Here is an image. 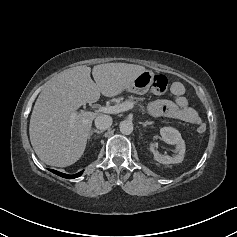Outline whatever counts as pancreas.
<instances>
[{
	"mask_svg": "<svg viewBox=\"0 0 237 237\" xmlns=\"http://www.w3.org/2000/svg\"><path fill=\"white\" fill-rule=\"evenodd\" d=\"M144 101V98H141V97H133V96H130L127 100H125V102H131L133 104H137L139 102H143Z\"/></svg>",
	"mask_w": 237,
	"mask_h": 237,
	"instance_id": "cf45deb5",
	"label": "pancreas"
}]
</instances>
